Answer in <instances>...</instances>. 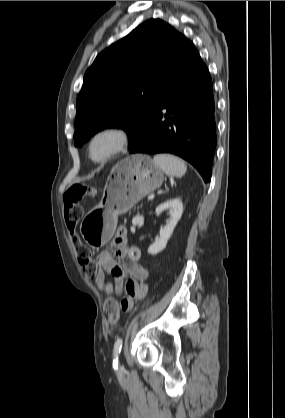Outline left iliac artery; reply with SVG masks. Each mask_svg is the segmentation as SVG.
Listing matches in <instances>:
<instances>
[{
    "label": "left iliac artery",
    "instance_id": "obj_1",
    "mask_svg": "<svg viewBox=\"0 0 285 418\" xmlns=\"http://www.w3.org/2000/svg\"><path fill=\"white\" fill-rule=\"evenodd\" d=\"M123 340L122 338H118L114 344V361H113V367L114 369L118 368V354L120 353L122 349Z\"/></svg>",
    "mask_w": 285,
    "mask_h": 418
}]
</instances>
